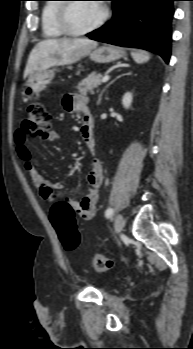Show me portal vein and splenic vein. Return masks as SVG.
Returning a JSON list of instances; mask_svg holds the SVG:
<instances>
[{
  "label": "portal vein and splenic vein",
  "instance_id": "1",
  "mask_svg": "<svg viewBox=\"0 0 193 349\" xmlns=\"http://www.w3.org/2000/svg\"><path fill=\"white\" fill-rule=\"evenodd\" d=\"M109 75H106L102 78V82H107L109 80Z\"/></svg>",
  "mask_w": 193,
  "mask_h": 349
}]
</instances>
